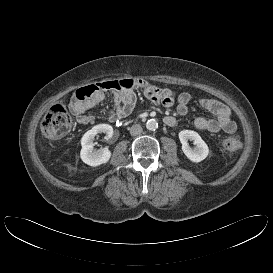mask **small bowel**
Returning <instances> with one entry per match:
<instances>
[{
    "label": "small bowel",
    "instance_id": "obj_1",
    "mask_svg": "<svg viewBox=\"0 0 273 273\" xmlns=\"http://www.w3.org/2000/svg\"><path fill=\"white\" fill-rule=\"evenodd\" d=\"M137 90L142 91L146 98L154 104L169 107L175 102L174 95L170 89L159 88L145 80H135L133 86L129 89L114 90L113 108L109 112V119L111 121L117 122L127 117L132 112L137 102ZM104 98V92L99 90L87 100H73L70 109L75 116L76 121L81 125L91 124L93 122V117L86 114V112L101 103ZM191 99L192 97L188 92H182L178 95L176 112L179 115L184 116L188 113ZM199 105L212 113L214 118H196L193 122L196 128L212 133L224 131L232 134L236 132L237 125L231 119L230 110L227 106L215 99H201ZM164 122L168 126H174L176 124V118L174 116H166Z\"/></svg>",
    "mask_w": 273,
    "mask_h": 273
}]
</instances>
